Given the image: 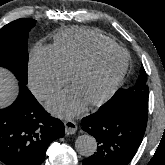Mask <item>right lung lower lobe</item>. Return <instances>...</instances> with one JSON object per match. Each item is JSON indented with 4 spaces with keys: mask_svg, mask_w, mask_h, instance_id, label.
I'll return each instance as SVG.
<instances>
[{
    "mask_svg": "<svg viewBox=\"0 0 165 165\" xmlns=\"http://www.w3.org/2000/svg\"><path fill=\"white\" fill-rule=\"evenodd\" d=\"M64 134L62 121L50 116L26 84L19 82L15 102L0 109V161L7 165H41L49 144Z\"/></svg>",
    "mask_w": 165,
    "mask_h": 165,
    "instance_id": "obj_1",
    "label": "right lung lower lobe"
}]
</instances>
